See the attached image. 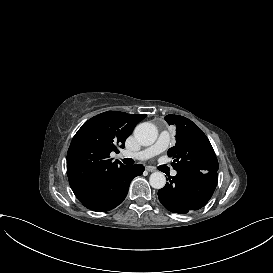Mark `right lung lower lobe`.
Listing matches in <instances>:
<instances>
[{
	"label": "right lung lower lobe",
	"mask_w": 273,
	"mask_h": 273,
	"mask_svg": "<svg viewBox=\"0 0 273 273\" xmlns=\"http://www.w3.org/2000/svg\"><path fill=\"white\" fill-rule=\"evenodd\" d=\"M142 165L123 166L110 173L94 190L78 198L88 209L96 212L109 211L125 199L130 182L143 173Z\"/></svg>",
	"instance_id": "98d812e1"
}]
</instances>
